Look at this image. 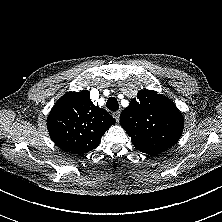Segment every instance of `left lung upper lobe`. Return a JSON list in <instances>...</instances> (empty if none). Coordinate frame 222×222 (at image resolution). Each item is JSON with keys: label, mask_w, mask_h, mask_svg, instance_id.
<instances>
[{"label": "left lung upper lobe", "mask_w": 222, "mask_h": 222, "mask_svg": "<svg viewBox=\"0 0 222 222\" xmlns=\"http://www.w3.org/2000/svg\"><path fill=\"white\" fill-rule=\"evenodd\" d=\"M120 124L133 145L148 154L174 146L182 134L184 120L169 98L155 91L140 90L121 113Z\"/></svg>", "instance_id": "1"}]
</instances>
